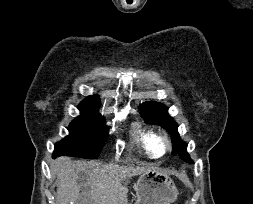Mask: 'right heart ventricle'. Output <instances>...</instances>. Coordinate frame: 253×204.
<instances>
[{"instance_id":"right-heart-ventricle-1","label":"right heart ventricle","mask_w":253,"mask_h":204,"mask_svg":"<svg viewBox=\"0 0 253 204\" xmlns=\"http://www.w3.org/2000/svg\"><path fill=\"white\" fill-rule=\"evenodd\" d=\"M134 139L149 157L157 158L162 155L159 137L155 131L137 126L134 131Z\"/></svg>"}]
</instances>
